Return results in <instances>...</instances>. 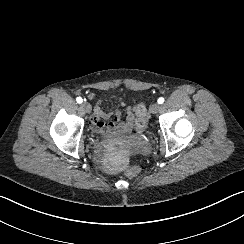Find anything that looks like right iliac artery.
<instances>
[{
  "label": "right iliac artery",
  "mask_w": 244,
  "mask_h": 244,
  "mask_svg": "<svg viewBox=\"0 0 244 244\" xmlns=\"http://www.w3.org/2000/svg\"><path fill=\"white\" fill-rule=\"evenodd\" d=\"M76 101L80 104V103L83 102V99H82L81 97H77V98H76Z\"/></svg>",
  "instance_id": "82829eb1"
}]
</instances>
